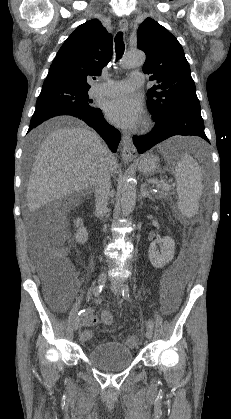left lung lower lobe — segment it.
Wrapping results in <instances>:
<instances>
[{"label":"left lung lower lobe","instance_id":"0a47b994","mask_svg":"<svg viewBox=\"0 0 231 419\" xmlns=\"http://www.w3.org/2000/svg\"><path fill=\"white\" fill-rule=\"evenodd\" d=\"M153 120L155 126L150 133L133 138L139 153H144L155 144L175 135L199 136L210 143L204 132L200 109H184L167 116L153 115Z\"/></svg>","mask_w":231,"mask_h":419}]
</instances>
